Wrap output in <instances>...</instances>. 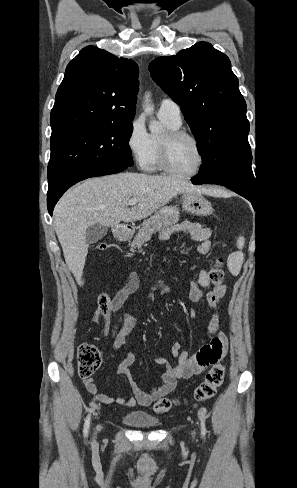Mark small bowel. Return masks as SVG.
I'll return each instance as SVG.
<instances>
[{
    "instance_id": "c3829d8e",
    "label": "small bowel",
    "mask_w": 297,
    "mask_h": 488,
    "mask_svg": "<svg viewBox=\"0 0 297 488\" xmlns=\"http://www.w3.org/2000/svg\"><path fill=\"white\" fill-rule=\"evenodd\" d=\"M186 233L193 241L198 242L197 250L200 254L206 255L211 249L210 236L211 230L202 227L200 224L184 221L179 224L169 226L159 234L160 240H167L173 233ZM140 285L139 277L132 273L124 286L114 295L111 300V311H119L129 297L134 294ZM225 293L223 285L215 286L208 273L201 270L197 278L188 284V296L192 302L204 303L210 308L208 318L207 337L208 342L204 344L194 355L187 351H181V345L175 342L171 346V355L175 363L169 362L164 357H155L153 362L162 365L164 371L160 383L150 389L143 391L130 375V367L135 361L132 350H128L125 358L118 364L117 373L124 375L130 385L133 396H110L100 392L98 385L92 377L83 378L87 391L93 394L97 401L103 404H118L127 407L136 405L147 406L171 393L181 378L189 379L202 374L210 366L218 363L227 347L226 336L219 332L220 304ZM107 321V316L99 311L94 316V321ZM137 319L130 314L122 316V327L115 341V349L118 350L125 342L126 338L135 330Z\"/></svg>"
}]
</instances>
